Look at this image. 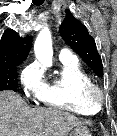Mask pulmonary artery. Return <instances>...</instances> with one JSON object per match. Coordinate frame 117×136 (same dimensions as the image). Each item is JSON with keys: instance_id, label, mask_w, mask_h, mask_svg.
Instances as JSON below:
<instances>
[{"instance_id": "e3ab8cb5", "label": "pulmonary artery", "mask_w": 117, "mask_h": 136, "mask_svg": "<svg viewBox=\"0 0 117 136\" xmlns=\"http://www.w3.org/2000/svg\"><path fill=\"white\" fill-rule=\"evenodd\" d=\"M59 59L61 61L76 60L75 55L67 48H61L59 52Z\"/></svg>"}]
</instances>
